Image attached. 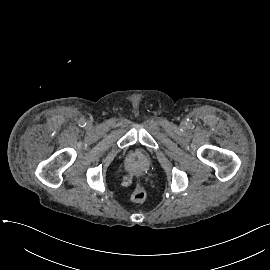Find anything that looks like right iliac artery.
I'll return each instance as SVG.
<instances>
[{"label":"right iliac artery","mask_w":270,"mask_h":270,"mask_svg":"<svg viewBox=\"0 0 270 270\" xmlns=\"http://www.w3.org/2000/svg\"><path fill=\"white\" fill-rule=\"evenodd\" d=\"M80 125H81V126H85V125H86V122H85L84 120H81V121H80Z\"/></svg>","instance_id":"1"}]
</instances>
